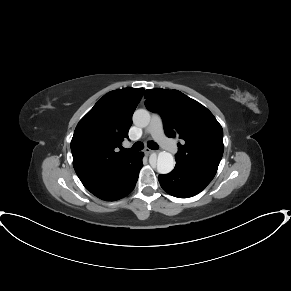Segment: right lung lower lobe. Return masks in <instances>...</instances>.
Masks as SVG:
<instances>
[{"label":"right lung lower lobe","mask_w":291,"mask_h":291,"mask_svg":"<svg viewBox=\"0 0 291 291\" xmlns=\"http://www.w3.org/2000/svg\"><path fill=\"white\" fill-rule=\"evenodd\" d=\"M142 157L143 153L138 152L129 164L114 174L93 182L83 183V185L88 191L102 200H118L134 189L139 171L143 166Z\"/></svg>","instance_id":"right-lung-lower-lobe-1"}]
</instances>
